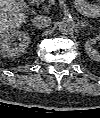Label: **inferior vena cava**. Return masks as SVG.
<instances>
[{"mask_svg": "<svg viewBox=\"0 0 100 118\" xmlns=\"http://www.w3.org/2000/svg\"><path fill=\"white\" fill-rule=\"evenodd\" d=\"M32 23L36 28H45L50 25L51 18L44 15H37L32 19Z\"/></svg>", "mask_w": 100, "mask_h": 118, "instance_id": "inferior-vena-cava-1", "label": "inferior vena cava"}]
</instances>
